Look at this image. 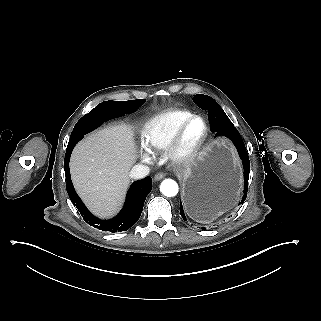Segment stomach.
<instances>
[{
  "mask_svg": "<svg viewBox=\"0 0 321 321\" xmlns=\"http://www.w3.org/2000/svg\"><path fill=\"white\" fill-rule=\"evenodd\" d=\"M183 203L196 221L204 212L234 205L241 184V168L232 146L217 140L208 145L184 170Z\"/></svg>",
  "mask_w": 321,
  "mask_h": 321,
  "instance_id": "obj_1",
  "label": "stomach"
}]
</instances>
